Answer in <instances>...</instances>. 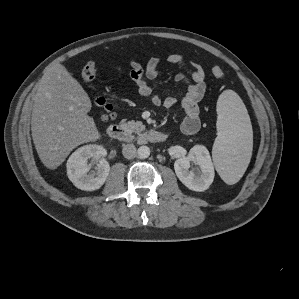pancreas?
I'll use <instances>...</instances> for the list:
<instances>
[{
	"label": "pancreas",
	"mask_w": 299,
	"mask_h": 299,
	"mask_svg": "<svg viewBox=\"0 0 299 299\" xmlns=\"http://www.w3.org/2000/svg\"><path fill=\"white\" fill-rule=\"evenodd\" d=\"M121 126L127 130L129 133H137V134H140L141 132H143L145 130V125H143V123L141 121H134V120H131V121H128L126 122L125 119H123L121 121Z\"/></svg>",
	"instance_id": "obj_1"
}]
</instances>
